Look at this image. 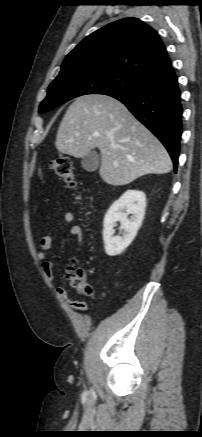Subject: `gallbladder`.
I'll list each match as a JSON object with an SVG mask.
<instances>
[{"label":"gallbladder","instance_id":"gallbladder-1","mask_svg":"<svg viewBox=\"0 0 202 437\" xmlns=\"http://www.w3.org/2000/svg\"><path fill=\"white\" fill-rule=\"evenodd\" d=\"M81 164L84 170L88 172H93L97 170L99 165L98 154L94 151H90L86 156L82 158Z\"/></svg>","mask_w":202,"mask_h":437}]
</instances>
